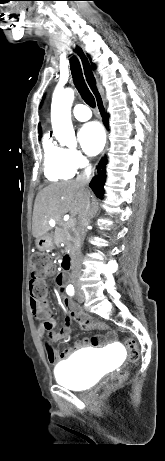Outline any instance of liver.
<instances>
[{
  "label": "liver",
  "mask_w": 165,
  "mask_h": 461,
  "mask_svg": "<svg viewBox=\"0 0 165 461\" xmlns=\"http://www.w3.org/2000/svg\"><path fill=\"white\" fill-rule=\"evenodd\" d=\"M90 192V191H89ZM91 195V194H90ZM86 198V190L77 180L50 184L40 191L36 197L32 234L38 239L50 230V221H60L64 214L79 217Z\"/></svg>",
  "instance_id": "obj_1"
}]
</instances>
